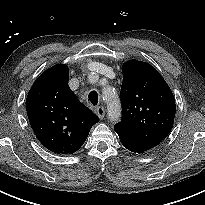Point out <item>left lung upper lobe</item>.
Here are the masks:
<instances>
[{
	"instance_id": "5c2ea615",
	"label": "left lung upper lobe",
	"mask_w": 205,
	"mask_h": 205,
	"mask_svg": "<svg viewBox=\"0 0 205 205\" xmlns=\"http://www.w3.org/2000/svg\"><path fill=\"white\" fill-rule=\"evenodd\" d=\"M121 121L114 128L158 145L172 129L175 100L171 89L150 64L132 60L122 67Z\"/></svg>"
}]
</instances>
